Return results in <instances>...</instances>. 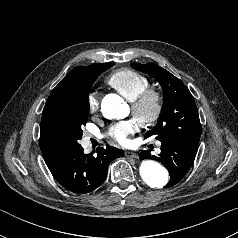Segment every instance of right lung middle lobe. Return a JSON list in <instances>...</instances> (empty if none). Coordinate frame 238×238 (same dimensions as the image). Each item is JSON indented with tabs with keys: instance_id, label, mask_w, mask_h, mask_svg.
Instances as JSON below:
<instances>
[{
	"instance_id": "1",
	"label": "right lung middle lobe",
	"mask_w": 238,
	"mask_h": 238,
	"mask_svg": "<svg viewBox=\"0 0 238 238\" xmlns=\"http://www.w3.org/2000/svg\"><path fill=\"white\" fill-rule=\"evenodd\" d=\"M113 63L95 64L76 77L72 86L61 96L45 104L40 133L60 143L68 150L80 146L82 126L89 113V91L92 83Z\"/></svg>"
}]
</instances>
